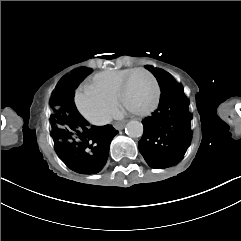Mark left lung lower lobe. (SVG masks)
<instances>
[{
    "label": "left lung lower lobe",
    "instance_id": "1",
    "mask_svg": "<svg viewBox=\"0 0 241 241\" xmlns=\"http://www.w3.org/2000/svg\"><path fill=\"white\" fill-rule=\"evenodd\" d=\"M190 121L182 86L167 87L158 109L142 121L144 133L138 147L150 167L167 168L183 158L191 139Z\"/></svg>",
    "mask_w": 241,
    "mask_h": 241
}]
</instances>
